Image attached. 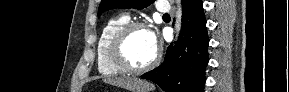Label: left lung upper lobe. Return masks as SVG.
<instances>
[{
	"label": "left lung upper lobe",
	"instance_id": "obj_1",
	"mask_svg": "<svg viewBox=\"0 0 289 92\" xmlns=\"http://www.w3.org/2000/svg\"><path fill=\"white\" fill-rule=\"evenodd\" d=\"M154 0H102L98 8V16L104 11L114 8H136L143 9Z\"/></svg>",
	"mask_w": 289,
	"mask_h": 92
}]
</instances>
